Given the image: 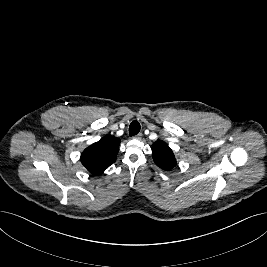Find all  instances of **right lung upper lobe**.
I'll return each mask as SVG.
<instances>
[{
  "label": "right lung upper lobe",
  "instance_id": "cb5924a9",
  "mask_svg": "<svg viewBox=\"0 0 267 267\" xmlns=\"http://www.w3.org/2000/svg\"><path fill=\"white\" fill-rule=\"evenodd\" d=\"M119 145V138L107 135L82 152L81 162L90 173L101 174L116 161Z\"/></svg>",
  "mask_w": 267,
  "mask_h": 267
}]
</instances>
